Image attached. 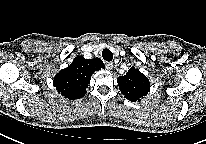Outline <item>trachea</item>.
<instances>
[{"label":"trachea","mask_w":206,"mask_h":144,"mask_svg":"<svg viewBox=\"0 0 206 144\" xmlns=\"http://www.w3.org/2000/svg\"><path fill=\"white\" fill-rule=\"evenodd\" d=\"M102 57H103L104 60L110 62L113 59V54L109 49H104L102 51Z\"/></svg>","instance_id":"trachea-1"}]
</instances>
